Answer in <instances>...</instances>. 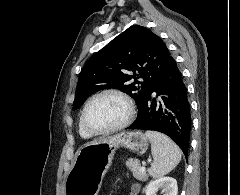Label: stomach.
I'll return each instance as SVG.
<instances>
[{
  "mask_svg": "<svg viewBox=\"0 0 240 195\" xmlns=\"http://www.w3.org/2000/svg\"><path fill=\"white\" fill-rule=\"evenodd\" d=\"M148 143L149 139L142 131H121L84 143L83 147L77 149L66 177L67 195H98L116 149L127 147L142 155L146 153Z\"/></svg>",
  "mask_w": 240,
  "mask_h": 195,
  "instance_id": "0dacf381",
  "label": "stomach"
}]
</instances>
